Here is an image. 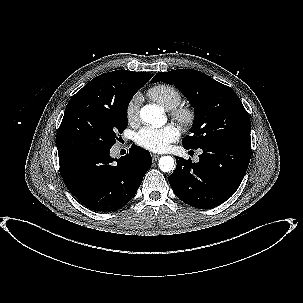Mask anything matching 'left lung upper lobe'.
Here are the masks:
<instances>
[{"mask_svg": "<svg viewBox=\"0 0 303 303\" xmlns=\"http://www.w3.org/2000/svg\"><path fill=\"white\" fill-rule=\"evenodd\" d=\"M174 85L195 108L192 135L182 140L183 146L197 149L209 142H251L250 117L232 88L193 69L158 72L156 83Z\"/></svg>", "mask_w": 303, "mask_h": 303, "instance_id": "1", "label": "left lung upper lobe"}]
</instances>
